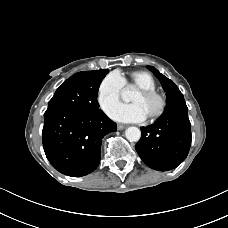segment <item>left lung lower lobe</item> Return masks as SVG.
Instances as JSON below:
<instances>
[{
	"instance_id": "obj_1",
	"label": "left lung lower lobe",
	"mask_w": 228,
	"mask_h": 228,
	"mask_svg": "<svg viewBox=\"0 0 228 228\" xmlns=\"http://www.w3.org/2000/svg\"><path fill=\"white\" fill-rule=\"evenodd\" d=\"M141 132L135 148L143 162L159 171L176 168L187 157L191 145V124L184 98L168 104L156 122L141 127Z\"/></svg>"
}]
</instances>
